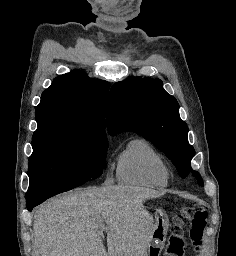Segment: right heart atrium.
<instances>
[{
    "label": "right heart atrium",
    "instance_id": "d8ad5b80",
    "mask_svg": "<svg viewBox=\"0 0 236 256\" xmlns=\"http://www.w3.org/2000/svg\"><path fill=\"white\" fill-rule=\"evenodd\" d=\"M114 179H115L114 173L111 170V168H109L108 171L106 172L104 183L111 184L113 183Z\"/></svg>",
    "mask_w": 236,
    "mask_h": 256
}]
</instances>
